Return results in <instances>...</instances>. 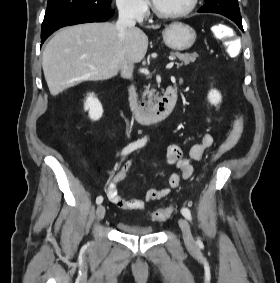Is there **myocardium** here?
<instances>
[{
    "instance_id": "obj_1",
    "label": "myocardium",
    "mask_w": 280,
    "mask_h": 283,
    "mask_svg": "<svg viewBox=\"0 0 280 283\" xmlns=\"http://www.w3.org/2000/svg\"><path fill=\"white\" fill-rule=\"evenodd\" d=\"M198 4V0H191L188 7L180 12H176V13H164L161 12L155 5L154 1H152V9L154 14L161 18V19H168V20H172V19H179V18H183L187 15H189L190 13H192L194 11V9L196 8Z\"/></svg>"
}]
</instances>
